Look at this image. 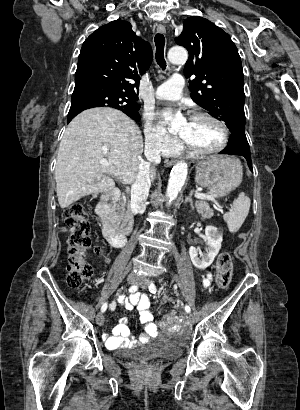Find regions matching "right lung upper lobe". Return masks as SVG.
Here are the masks:
<instances>
[{
  "instance_id": "cb5924a9",
  "label": "right lung upper lobe",
  "mask_w": 300,
  "mask_h": 410,
  "mask_svg": "<svg viewBox=\"0 0 300 410\" xmlns=\"http://www.w3.org/2000/svg\"><path fill=\"white\" fill-rule=\"evenodd\" d=\"M151 62L150 44L136 36L129 22L115 20L84 41L75 84L102 85L137 99L139 74H143Z\"/></svg>"
}]
</instances>
